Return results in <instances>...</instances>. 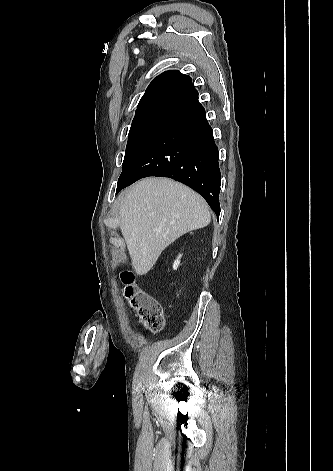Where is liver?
I'll use <instances>...</instances> for the list:
<instances>
[{"mask_svg":"<svg viewBox=\"0 0 333 471\" xmlns=\"http://www.w3.org/2000/svg\"><path fill=\"white\" fill-rule=\"evenodd\" d=\"M210 220L206 201L168 178L143 179L119 197V226L139 275L147 274L176 239Z\"/></svg>","mask_w":333,"mask_h":471,"instance_id":"1","label":"liver"}]
</instances>
